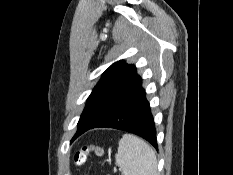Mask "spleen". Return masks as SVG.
<instances>
[{
  "label": "spleen",
  "mask_w": 233,
  "mask_h": 175,
  "mask_svg": "<svg viewBox=\"0 0 233 175\" xmlns=\"http://www.w3.org/2000/svg\"><path fill=\"white\" fill-rule=\"evenodd\" d=\"M115 159L122 175H158L154 149L137 136L123 135Z\"/></svg>",
  "instance_id": "3e777b00"
}]
</instances>
